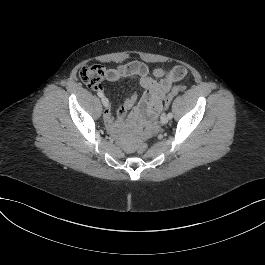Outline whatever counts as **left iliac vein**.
I'll return each mask as SVG.
<instances>
[{
    "label": "left iliac vein",
    "instance_id": "4c4485c4",
    "mask_svg": "<svg viewBox=\"0 0 265 265\" xmlns=\"http://www.w3.org/2000/svg\"><path fill=\"white\" fill-rule=\"evenodd\" d=\"M160 120H161V123H162V124H167L169 118H168V116H167L166 114H162Z\"/></svg>",
    "mask_w": 265,
    "mask_h": 265
}]
</instances>
